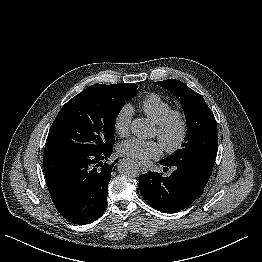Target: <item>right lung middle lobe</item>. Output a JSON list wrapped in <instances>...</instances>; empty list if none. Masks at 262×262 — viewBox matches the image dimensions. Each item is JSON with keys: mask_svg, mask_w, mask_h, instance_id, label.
Returning <instances> with one entry per match:
<instances>
[{"mask_svg": "<svg viewBox=\"0 0 262 262\" xmlns=\"http://www.w3.org/2000/svg\"><path fill=\"white\" fill-rule=\"evenodd\" d=\"M138 85H92L69 100L49 131L45 148L104 151L113 147L116 118Z\"/></svg>", "mask_w": 262, "mask_h": 262, "instance_id": "obj_1", "label": "right lung middle lobe"}]
</instances>
